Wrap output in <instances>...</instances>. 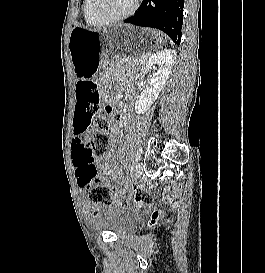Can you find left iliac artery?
I'll use <instances>...</instances> for the list:
<instances>
[{"label":"left iliac artery","instance_id":"left-iliac-artery-1","mask_svg":"<svg viewBox=\"0 0 265 273\" xmlns=\"http://www.w3.org/2000/svg\"><path fill=\"white\" fill-rule=\"evenodd\" d=\"M140 154H141V149H139L136 153V161L140 158ZM133 170V167H131V171Z\"/></svg>","mask_w":265,"mask_h":273}]
</instances>
